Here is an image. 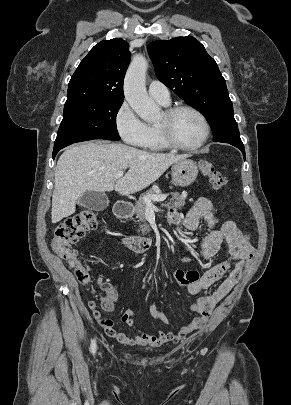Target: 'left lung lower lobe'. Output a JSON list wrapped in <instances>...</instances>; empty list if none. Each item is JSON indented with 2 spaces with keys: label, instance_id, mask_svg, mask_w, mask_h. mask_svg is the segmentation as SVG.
Wrapping results in <instances>:
<instances>
[{
  "label": "left lung lower lobe",
  "instance_id": "obj_1",
  "mask_svg": "<svg viewBox=\"0 0 291 405\" xmlns=\"http://www.w3.org/2000/svg\"><path fill=\"white\" fill-rule=\"evenodd\" d=\"M229 144L239 148L242 151L244 159H245V151H244V145L243 144H235V143H229Z\"/></svg>",
  "mask_w": 291,
  "mask_h": 405
}]
</instances>
